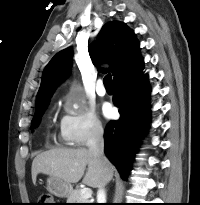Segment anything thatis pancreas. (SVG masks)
Wrapping results in <instances>:
<instances>
[{
    "label": "pancreas",
    "mask_w": 200,
    "mask_h": 205,
    "mask_svg": "<svg viewBox=\"0 0 200 205\" xmlns=\"http://www.w3.org/2000/svg\"><path fill=\"white\" fill-rule=\"evenodd\" d=\"M79 189L72 190L67 198V203H90L88 199H84L80 195Z\"/></svg>",
    "instance_id": "pancreas-1"
}]
</instances>
